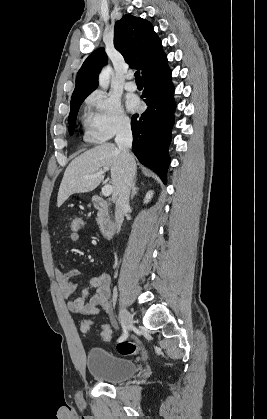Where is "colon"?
<instances>
[{"mask_svg":"<svg viewBox=\"0 0 267 419\" xmlns=\"http://www.w3.org/2000/svg\"><path fill=\"white\" fill-rule=\"evenodd\" d=\"M84 221L80 217H74L69 222V228L71 233H79L82 228ZM92 322L90 320H83L80 325V329L83 333L90 330ZM101 337L104 341L111 339V329L108 325L101 326ZM143 345L134 341H123L117 344L116 350L122 356H130L138 353L142 350Z\"/></svg>","mask_w":267,"mask_h":419,"instance_id":"5ec220e1","label":"colon"}]
</instances>
